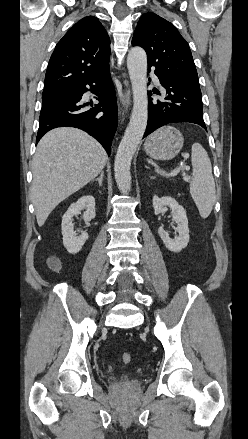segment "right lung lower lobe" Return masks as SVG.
Masks as SVG:
<instances>
[{"instance_id":"1","label":"right lung lower lobe","mask_w":248,"mask_h":439,"mask_svg":"<svg viewBox=\"0 0 248 439\" xmlns=\"http://www.w3.org/2000/svg\"><path fill=\"white\" fill-rule=\"evenodd\" d=\"M87 91L97 95L98 104L84 102L82 96ZM63 126L86 131L110 155L117 127V102L109 67L64 92L43 99L36 144L49 130Z\"/></svg>"}]
</instances>
